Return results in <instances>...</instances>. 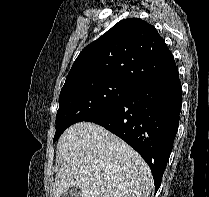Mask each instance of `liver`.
Wrapping results in <instances>:
<instances>
[{"label":"liver","mask_w":209,"mask_h":197,"mask_svg":"<svg viewBox=\"0 0 209 197\" xmlns=\"http://www.w3.org/2000/svg\"><path fill=\"white\" fill-rule=\"evenodd\" d=\"M61 167L53 197L79 187L83 197H148L153 179L143 158L118 136L91 122L70 126L57 144Z\"/></svg>","instance_id":"obj_1"}]
</instances>
